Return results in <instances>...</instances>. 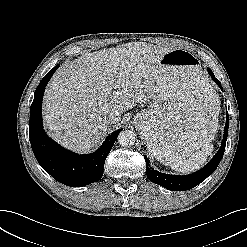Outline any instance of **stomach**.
Returning <instances> with one entry per match:
<instances>
[{"instance_id": "0dacf381", "label": "stomach", "mask_w": 247, "mask_h": 247, "mask_svg": "<svg viewBox=\"0 0 247 247\" xmlns=\"http://www.w3.org/2000/svg\"><path fill=\"white\" fill-rule=\"evenodd\" d=\"M158 66L163 84L154 92L150 108L136 116L135 126L148 151L170 165L213 138L219 99L193 53L171 50Z\"/></svg>"}]
</instances>
